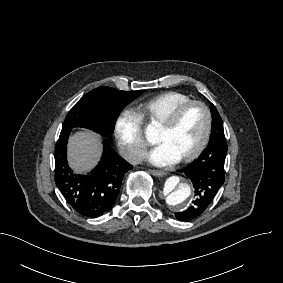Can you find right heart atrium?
Returning <instances> with one entry per match:
<instances>
[{"label": "right heart atrium", "instance_id": "d8ad5b80", "mask_svg": "<svg viewBox=\"0 0 283 283\" xmlns=\"http://www.w3.org/2000/svg\"><path fill=\"white\" fill-rule=\"evenodd\" d=\"M114 136L124 159L131 163L137 161L146 142L142 134V120L130 108L123 109L117 116Z\"/></svg>", "mask_w": 283, "mask_h": 283}]
</instances>
